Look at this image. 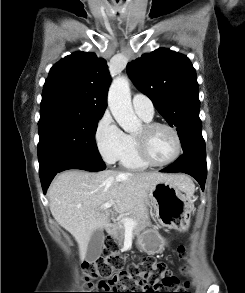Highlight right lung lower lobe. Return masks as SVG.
Returning a JSON list of instances; mask_svg holds the SVG:
<instances>
[{"label":"right lung lower lobe","mask_w":245,"mask_h":293,"mask_svg":"<svg viewBox=\"0 0 245 293\" xmlns=\"http://www.w3.org/2000/svg\"><path fill=\"white\" fill-rule=\"evenodd\" d=\"M106 168L102 159H94L83 156H67L53 162L49 168L40 173V179L44 194L54 176L61 171L68 169H81L86 171H101Z\"/></svg>","instance_id":"98d812e1"}]
</instances>
